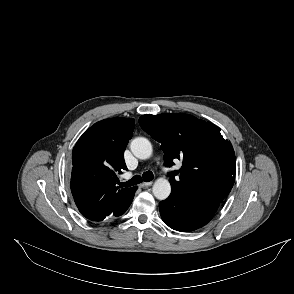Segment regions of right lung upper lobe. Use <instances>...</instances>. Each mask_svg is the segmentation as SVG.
Instances as JSON below:
<instances>
[{"label": "right lung upper lobe", "instance_id": "obj_1", "mask_svg": "<svg viewBox=\"0 0 294 294\" xmlns=\"http://www.w3.org/2000/svg\"><path fill=\"white\" fill-rule=\"evenodd\" d=\"M134 119L115 117L95 123L72 151L71 191L80 213L90 220L112 214L132 188L117 186L118 173L127 170L124 151L134 130Z\"/></svg>", "mask_w": 294, "mask_h": 294}]
</instances>
